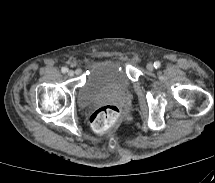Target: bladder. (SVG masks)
Segmentation results:
<instances>
[{"label": "bladder", "instance_id": "31cf9c89", "mask_svg": "<svg viewBox=\"0 0 215 183\" xmlns=\"http://www.w3.org/2000/svg\"><path fill=\"white\" fill-rule=\"evenodd\" d=\"M77 102L87 107L109 92H126L132 87L125 66L118 60L104 58L90 63Z\"/></svg>", "mask_w": 215, "mask_h": 183}]
</instances>
